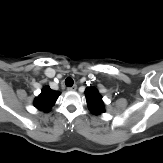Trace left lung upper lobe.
Masks as SVG:
<instances>
[{
	"instance_id": "left-lung-upper-lobe-1",
	"label": "left lung upper lobe",
	"mask_w": 163,
	"mask_h": 163,
	"mask_svg": "<svg viewBox=\"0 0 163 163\" xmlns=\"http://www.w3.org/2000/svg\"><path fill=\"white\" fill-rule=\"evenodd\" d=\"M88 108L93 114H101L105 111L102 97L94 87H88L85 90Z\"/></svg>"
}]
</instances>
